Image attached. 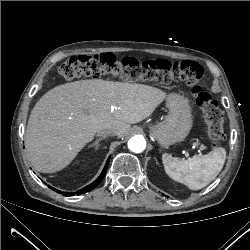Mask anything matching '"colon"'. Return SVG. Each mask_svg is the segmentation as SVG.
Here are the masks:
<instances>
[{
  "mask_svg": "<svg viewBox=\"0 0 250 250\" xmlns=\"http://www.w3.org/2000/svg\"><path fill=\"white\" fill-rule=\"evenodd\" d=\"M59 74L66 80L113 76L159 84L182 81L189 86L197 106L203 112L207 133L213 145L218 146L225 139L223 112L212 95L201 85L203 69L197 63L168 59L117 58L110 53L78 55L63 62L59 67Z\"/></svg>",
  "mask_w": 250,
  "mask_h": 250,
  "instance_id": "5ec220e1",
  "label": "colon"
}]
</instances>
